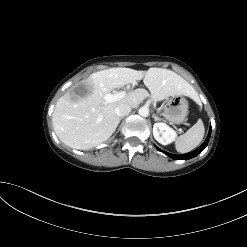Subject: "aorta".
I'll return each mask as SVG.
<instances>
[{
  "mask_svg": "<svg viewBox=\"0 0 247 247\" xmlns=\"http://www.w3.org/2000/svg\"><path fill=\"white\" fill-rule=\"evenodd\" d=\"M138 113L142 117H147L149 115V109L147 107H141Z\"/></svg>",
  "mask_w": 247,
  "mask_h": 247,
  "instance_id": "1",
  "label": "aorta"
}]
</instances>
